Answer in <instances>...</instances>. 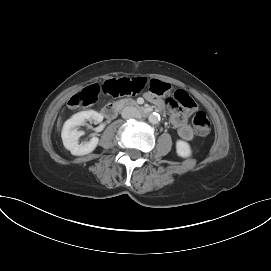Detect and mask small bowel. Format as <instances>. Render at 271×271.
<instances>
[{"instance_id": "1", "label": "small bowel", "mask_w": 271, "mask_h": 271, "mask_svg": "<svg viewBox=\"0 0 271 271\" xmlns=\"http://www.w3.org/2000/svg\"><path fill=\"white\" fill-rule=\"evenodd\" d=\"M167 88V80H161L160 76H151L145 98L150 102L160 103V99L157 95H166ZM171 112V121L177 129L178 135L183 140H191L194 133L192 128L187 124L185 115L173 107H171Z\"/></svg>"}]
</instances>
